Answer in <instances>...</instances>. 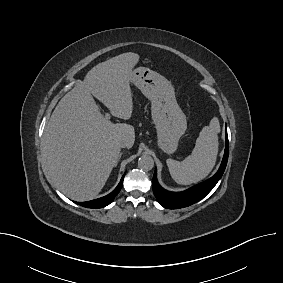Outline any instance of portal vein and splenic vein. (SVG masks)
I'll return each instance as SVG.
<instances>
[{
	"mask_svg": "<svg viewBox=\"0 0 283 283\" xmlns=\"http://www.w3.org/2000/svg\"><path fill=\"white\" fill-rule=\"evenodd\" d=\"M105 119H106V120H109V119H110V114H109V113H106V114H105Z\"/></svg>",
	"mask_w": 283,
	"mask_h": 283,
	"instance_id": "1",
	"label": "portal vein and splenic vein"
}]
</instances>
